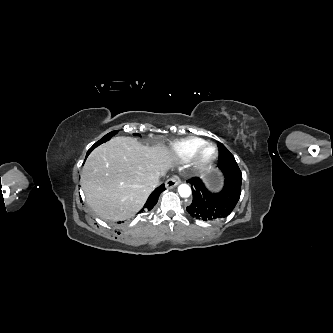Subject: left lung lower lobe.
I'll use <instances>...</instances> for the list:
<instances>
[{"mask_svg":"<svg viewBox=\"0 0 333 333\" xmlns=\"http://www.w3.org/2000/svg\"><path fill=\"white\" fill-rule=\"evenodd\" d=\"M217 166L225 177L224 187L219 193L210 192L199 178L188 181L192 185L193 201L187 211L193 218L207 222L223 219L232 212L240 198L242 173L237 163H219Z\"/></svg>","mask_w":333,"mask_h":333,"instance_id":"left-lung-lower-lobe-1","label":"left lung lower lobe"}]
</instances>
